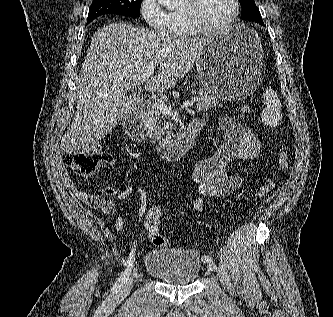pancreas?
<instances>
[{
	"label": "pancreas",
	"instance_id": "pancreas-1",
	"mask_svg": "<svg viewBox=\"0 0 333 317\" xmlns=\"http://www.w3.org/2000/svg\"><path fill=\"white\" fill-rule=\"evenodd\" d=\"M194 93L196 92L192 91V94ZM198 95L200 98V100L196 104V108L198 111L208 110L218 105L219 101L215 96L209 95L203 90H199ZM163 102L167 103V100L164 99ZM145 119L147 134L149 137L158 141H167L174 138V134L172 132V130L174 129V125L170 122L167 115L160 112L156 107H150Z\"/></svg>",
	"mask_w": 333,
	"mask_h": 317
}]
</instances>
